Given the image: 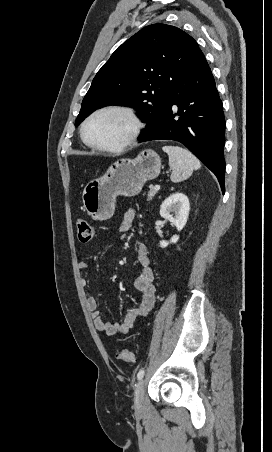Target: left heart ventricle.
I'll return each mask as SVG.
<instances>
[{
    "mask_svg": "<svg viewBox=\"0 0 272 452\" xmlns=\"http://www.w3.org/2000/svg\"><path fill=\"white\" fill-rule=\"evenodd\" d=\"M130 129L131 123L124 114L105 112L97 115L89 122L86 136L93 143L118 145L125 140Z\"/></svg>",
    "mask_w": 272,
    "mask_h": 452,
    "instance_id": "b2bd125f",
    "label": "left heart ventricle"
}]
</instances>
